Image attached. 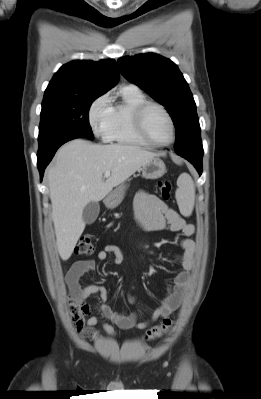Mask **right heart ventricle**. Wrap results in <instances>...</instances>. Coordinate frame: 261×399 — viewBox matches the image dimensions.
<instances>
[{
	"mask_svg": "<svg viewBox=\"0 0 261 399\" xmlns=\"http://www.w3.org/2000/svg\"><path fill=\"white\" fill-rule=\"evenodd\" d=\"M147 101L146 96L138 88L123 87L120 100L111 104V123L107 140L121 144L149 146L136 134L132 114L134 109Z\"/></svg>",
	"mask_w": 261,
	"mask_h": 399,
	"instance_id": "1",
	"label": "right heart ventricle"
}]
</instances>
